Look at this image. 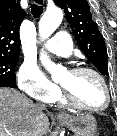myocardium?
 Returning <instances> with one entry per match:
<instances>
[{"label":"myocardium","instance_id":"obj_1","mask_svg":"<svg viewBox=\"0 0 117 136\" xmlns=\"http://www.w3.org/2000/svg\"><path fill=\"white\" fill-rule=\"evenodd\" d=\"M70 72L74 73V74L91 73V74L95 75L99 79V81L101 82V84L104 88L105 103L102 107H97V108L88 107L86 105H83V104L77 102L74 99V97L72 96V94L70 93V91L61 85V91H62V96H63L64 101L67 104H69L70 106H72L76 109L82 110V111H87V112H92V113H98V112L105 111L111 103V91H110L109 85H108L106 79L104 78V76L96 69L91 68V67H87V66L74 67L70 70Z\"/></svg>","mask_w":117,"mask_h":136}]
</instances>
